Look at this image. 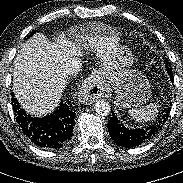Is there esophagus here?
I'll return each instance as SVG.
<instances>
[{
  "instance_id": "esophagus-1",
  "label": "esophagus",
  "mask_w": 183,
  "mask_h": 183,
  "mask_svg": "<svg viewBox=\"0 0 183 183\" xmlns=\"http://www.w3.org/2000/svg\"><path fill=\"white\" fill-rule=\"evenodd\" d=\"M111 93L109 84L101 77L100 73H93L82 84L79 92L80 102L92 104L99 98H108Z\"/></svg>"
}]
</instances>
